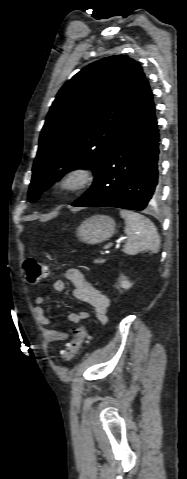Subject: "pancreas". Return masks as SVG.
<instances>
[{
    "mask_svg": "<svg viewBox=\"0 0 187 479\" xmlns=\"http://www.w3.org/2000/svg\"><path fill=\"white\" fill-rule=\"evenodd\" d=\"M105 262V259H96L94 260V263L96 264H100V263H104Z\"/></svg>",
    "mask_w": 187,
    "mask_h": 479,
    "instance_id": "cf45deb5",
    "label": "pancreas"
}]
</instances>
